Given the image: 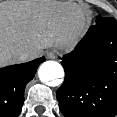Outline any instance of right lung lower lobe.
Listing matches in <instances>:
<instances>
[{
	"label": "right lung lower lobe",
	"instance_id": "right-lung-lower-lobe-1",
	"mask_svg": "<svg viewBox=\"0 0 117 117\" xmlns=\"http://www.w3.org/2000/svg\"><path fill=\"white\" fill-rule=\"evenodd\" d=\"M44 57L0 68V117H17L23 106L24 90Z\"/></svg>",
	"mask_w": 117,
	"mask_h": 117
}]
</instances>
